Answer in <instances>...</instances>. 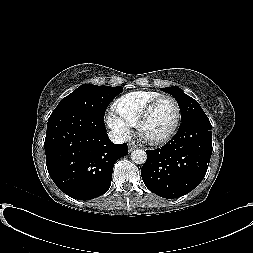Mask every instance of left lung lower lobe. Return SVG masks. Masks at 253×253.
Listing matches in <instances>:
<instances>
[{"label":"left lung lower lobe","mask_w":253,"mask_h":253,"mask_svg":"<svg viewBox=\"0 0 253 253\" xmlns=\"http://www.w3.org/2000/svg\"><path fill=\"white\" fill-rule=\"evenodd\" d=\"M146 153L141 176L151 192L167 199L189 193L203 180L211 158L212 133L208 117L182 121L167 145Z\"/></svg>","instance_id":"0a47b994"}]
</instances>
